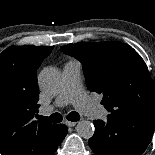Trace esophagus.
<instances>
[{"label":"esophagus","mask_w":155,"mask_h":155,"mask_svg":"<svg viewBox=\"0 0 155 155\" xmlns=\"http://www.w3.org/2000/svg\"><path fill=\"white\" fill-rule=\"evenodd\" d=\"M66 124L69 126V127H74L77 122H73V121H66Z\"/></svg>","instance_id":"1"}]
</instances>
